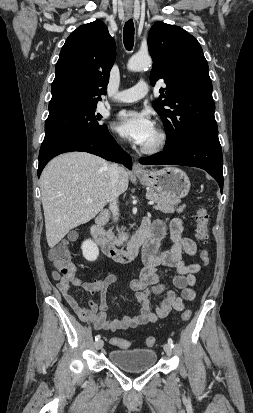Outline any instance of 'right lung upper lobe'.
Here are the masks:
<instances>
[{
  "mask_svg": "<svg viewBox=\"0 0 253 413\" xmlns=\"http://www.w3.org/2000/svg\"><path fill=\"white\" fill-rule=\"evenodd\" d=\"M116 45L101 20L79 26L67 38L56 63L49 115L96 107L106 94Z\"/></svg>",
  "mask_w": 253,
  "mask_h": 413,
  "instance_id": "1",
  "label": "right lung upper lobe"
}]
</instances>
